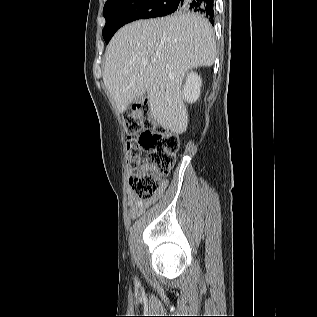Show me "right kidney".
<instances>
[{
  "label": "right kidney",
  "instance_id": "right-kidney-1",
  "mask_svg": "<svg viewBox=\"0 0 317 317\" xmlns=\"http://www.w3.org/2000/svg\"><path fill=\"white\" fill-rule=\"evenodd\" d=\"M202 79L197 73L191 72L187 75L183 87L182 96L187 102H195L201 94Z\"/></svg>",
  "mask_w": 317,
  "mask_h": 317
}]
</instances>
